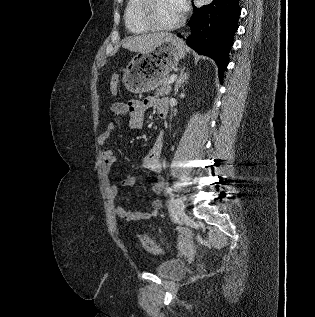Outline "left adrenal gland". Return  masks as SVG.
Listing matches in <instances>:
<instances>
[{"instance_id":"left-adrenal-gland-1","label":"left adrenal gland","mask_w":315,"mask_h":317,"mask_svg":"<svg viewBox=\"0 0 315 317\" xmlns=\"http://www.w3.org/2000/svg\"><path fill=\"white\" fill-rule=\"evenodd\" d=\"M184 70H185V67L181 69L180 75L175 83V87H174L175 95L178 93V90L181 84L187 79V73H185Z\"/></svg>"}]
</instances>
